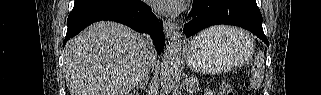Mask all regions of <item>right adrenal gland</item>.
<instances>
[{
    "mask_svg": "<svg viewBox=\"0 0 321 95\" xmlns=\"http://www.w3.org/2000/svg\"><path fill=\"white\" fill-rule=\"evenodd\" d=\"M147 84H148V79L146 78V79H144V80H142L141 82H140V84L139 85H137L136 86V88H134V94L137 92V90H139L140 88H145V86H147Z\"/></svg>",
    "mask_w": 321,
    "mask_h": 95,
    "instance_id": "1",
    "label": "right adrenal gland"
}]
</instances>
